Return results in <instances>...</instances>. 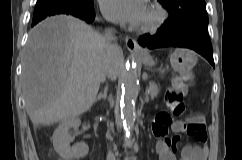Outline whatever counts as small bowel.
I'll return each mask as SVG.
<instances>
[{"instance_id":"obj_1","label":"small bowel","mask_w":242,"mask_h":160,"mask_svg":"<svg viewBox=\"0 0 242 160\" xmlns=\"http://www.w3.org/2000/svg\"><path fill=\"white\" fill-rule=\"evenodd\" d=\"M204 125L203 118L200 115L190 116L185 121L174 120L171 122L172 136L166 133H154L158 140L156 142V151L159 155V160H206L207 145L206 140L196 141L197 145H187L182 148L181 156L179 159L176 157V146L179 141L180 135L184 132L188 134L189 129H194L197 125ZM193 137L192 134H188Z\"/></svg>"}]
</instances>
